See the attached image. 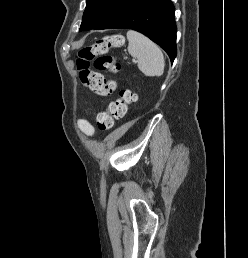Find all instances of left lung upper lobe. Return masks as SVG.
Here are the masks:
<instances>
[{
    "instance_id": "left-lung-upper-lobe-1",
    "label": "left lung upper lobe",
    "mask_w": 248,
    "mask_h": 258,
    "mask_svg": "<svg viewBox=\"0 0 248 258\" xmlns=\"http://www.w3.org/2000/svg\"><path fill=\"white\" fill-rule=\"evenodd\" d=\"M128 0H87L81 30L95 28L116 15Z\"/></svg>"
}]
</instances>
